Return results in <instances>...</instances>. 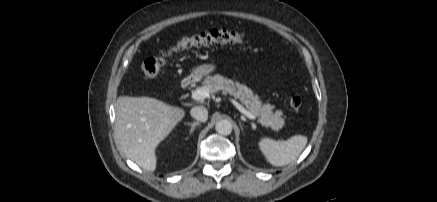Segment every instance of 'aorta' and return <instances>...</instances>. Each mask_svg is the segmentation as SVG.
I'll return each instance as SVG.
<instances>
[{
    "label": "aorta",
    "instance_id": "aorta-1",
    "mask_svg": "<svg viewBox=\"0 0 437 202\" xmlns=\"http://www.w3.org/2000/svg\"><path fill=\"white\" fill-rule=\"evenodd\" d=\"M215 129L221 135H229L232 132V124L228 120H220L216 123Z\"/></svg>",
    "mask_w": 437,
    "mask_h": 202
}]
</instances>
